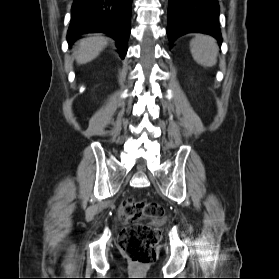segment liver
Returning <instances> with one entry per match:
<instances>
[{"instance_id": "6515ba94", "label": "liver", "mask_w": 279, "mask_h": 279, "mask_svg": "<svg viewBox=\"0 0 279 279\" xmlns=\"http://www.w3.org/2000/svg\"><path fill=\"white\" fill-rule=\"evenodd\" d=\"M107 43V39L99 34L81 39L73 53L77 64H86L95 59L106 47Z\"/></svg>"}]
</instances>
